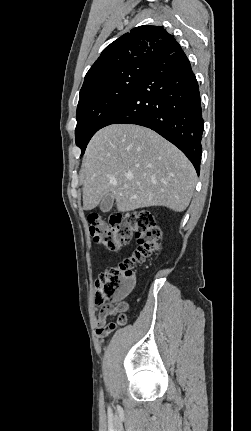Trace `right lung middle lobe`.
I'll list each match as a JSON object with an SVG mask.
<instances>
[{
	"label": "right lung middle lobe",
	"mask_w": 251,
	"mask_h": 431,
	"mask_svg": "<svg viewBox=\"0 0 251 431\" xmlns=\"http://www.w3.org/2000/svg\"><path fill=\"white\" fill-rule=\"evenodd\" d=\"M147 63L137 62L104 77L80 91L77 107L76 144L84 154L91 137L107 118L136 89Z\"/></svg>",
	"instance_id": "1"
}]
</instances>
